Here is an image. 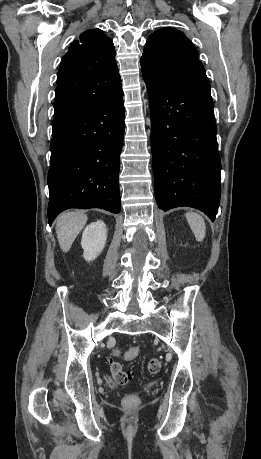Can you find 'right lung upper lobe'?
I'll use <instances>...</instances> for the list:
<instances>
[{
	"label": "right lung upper lobe",
	"mask_w": 261,
	"mask_h": 459,
	"mask_svg": "<svg viewBox=\"0 0 261 459\" xmlns=\"http://www.w3.org/2000/svg\"><path fill=\"white\" fill-rule=\"evenodd\" d=\"M119 88L113 42L100 29L83 32L60 63L53 127L99 105Z\"/></svg>",
	"instance_id": "cb5924a9"
}]
</instances>
